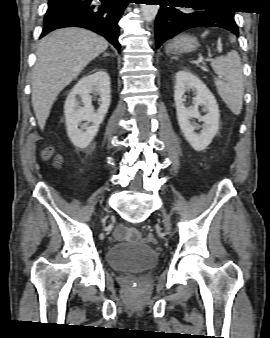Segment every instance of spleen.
Segmentation results:
<instances>
[{
	"mask_svg": "<svg viewBox=\"0 0 270 338\" xmlns=\"http://www.w3.org/2000/svg\"><path fill=\"white\" fill-rule=\"evenodd\" d=\"M219 78L214 79L218 94L227 107L236 115L240 114L243 105L244 81L239 54L231 50L225 56L211 62ZM224 80H221V79Z\"/></svg>",
	"mask_w": 270,
	"mask_h": 338,
	"instance_id": "3e777b00",
	"label": "spleen"
}]
</instances>
